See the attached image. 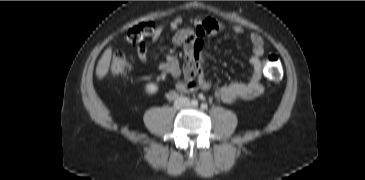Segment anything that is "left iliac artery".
Masks as SVG:
<instances>
[{
    "mask_svg": "<svg viewBox=\"0 0 365 180\" xmlns=\"http://www.w3.org/2000/svg\"><path fill=\"white\" fill-rule=\"evenodd\" d=\"M208 108V105L206 103L201 104V109L206 110Z\"/></svg>",
    "mask_w": 365,
    "mask_h": 180,
    "instance_id": "1",
    "label": "left iliac artery"
}]
</instances>
